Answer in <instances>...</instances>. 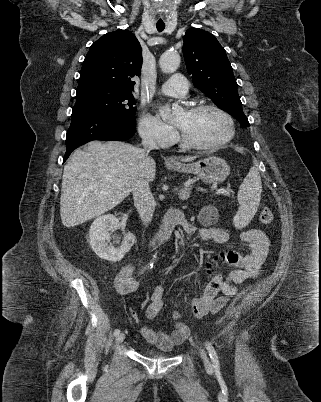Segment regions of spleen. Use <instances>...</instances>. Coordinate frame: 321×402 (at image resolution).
<instances>
[{
  "instance_id": "3e777b00",
  "label": "spleen",
  "mask_w": 321,
  "mask_h": 402,
  "mask_svg": "<svg viewBox=\"0 0 321 402\" xmlns=\"http://www.w3.org/2000/svg\"><path fill=\"white\" fill-rule=\"evenodd\" d=\"M262 182L257 167L250 168L243 183L239 187L238 202L240 207L233 218L236 228H244L257 212L261 200Z\"/></svg>"
}]
</instances>
